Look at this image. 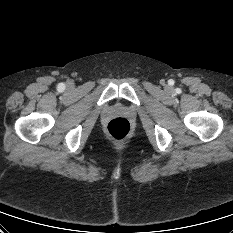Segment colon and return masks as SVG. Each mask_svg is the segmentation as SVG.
<instances>
[{"label": "colon", "mask_w": 233, "mask_h": 233, "mask_svg": "<svg viewBox=\"0 0 233 233\" xmlns=\"http://www.w3.org/2000/svg\"><path fill=\"white\" fill-rule=\"evenodd\" d=\"M107 134L116 142L125 141L131 133V125L126 118H114L107 124Z\"/></svg>", "instance_id": "5ec220e1"}]
</instances>
